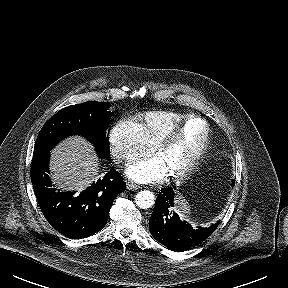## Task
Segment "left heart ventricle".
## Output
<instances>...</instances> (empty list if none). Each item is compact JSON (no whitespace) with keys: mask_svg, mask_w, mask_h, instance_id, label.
<instances>
[{"mask_svg":"<svg viewBox=\"0 0 288 288\" xmlns=\"http://www.w3.org/2000/svg\"><path fill=\"white\" fill-rule=\"evenodd\" d=\"M206 126L200 120H192L183 126L175 140L158 156L163 160L168 173H176L187 166L203 144Z\"/></svg>","mask_w":288,"mask_h":288,"instance_id":"left-heart-ventricle-1","label":"left heart ventricle"}]
</instances>
